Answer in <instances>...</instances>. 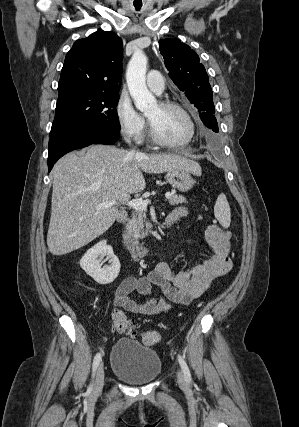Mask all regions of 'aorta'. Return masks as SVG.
Listing matches in <instances>:
<instances>
[{
  "label": "aorta",
  "mask_w": 299,
  "mask_h": 427,
  "mask_svg": "<svg viewBox=\"0 0 299 427\" xmlns=\"http://www.w3.org/2000/svg\"><path fill=\"white\" fill-rule=\"evenodd\" d=\"M147 57L142 51L135 52L129 61L126 80L134 104L141 112L157 107V101L146 86Z\"/></svg>",
  "instance_id": "1"
}]
</instances>
